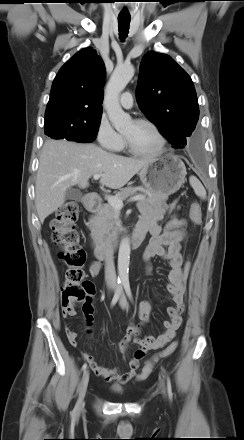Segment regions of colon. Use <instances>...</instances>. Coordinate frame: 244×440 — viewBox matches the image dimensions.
Wrapping results in <instances>:
<instances>
[{
	"label": "colon",
	"instance_id": "1",
	"mask_svg": "<svg viewBox=\"0 0 244 440\" xmlns=\"http://www.w3.org/2000/svg\"><path fill=\"white\" fill-rule=\"evenodd\" d=\"M78 213V204L73 201L67 202L58 209L50 222L51 239L60 246L59 258L66 265L64 282L61 289V306L63 315L68 317L76 314V307L78 305H81L83 309H91L92 295L94 293L93 284L84 278L83 267L86 261V253L79 245L80 236L75 228ZM190 218L195 225L201 224L202 211L198 202L191 204ZM190 270L191 259L187 256L182 268V277L185 284L188 282ZM177 346L178 343L176 341L172 342L149 359L137 376V381L146 380L159 359L171 355L177 349ZM147 351V347L140 346L134 354L143 358Z\"/></svg>",
	"mask_w": 244,
	"mask_h": 440
}]
</instances>
